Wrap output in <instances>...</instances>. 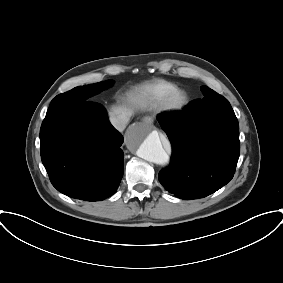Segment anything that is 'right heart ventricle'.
<instances>
[{"label":"right heart ventricle","mask_w":283,"mask_h":283,"mask_svg":"<svg viewBox=\"0 0 283 283\" xmlns=\"http://www.w3.org/2000/svg\"><path fill=\"white\" fill-rule=\"evenodd\" d=\"M176 89L173 83L165 80L157 79L152 81L144 92V97L150 101H157L168 92Z\"/></svg>","instance_id":"e07e8e85"}]
</instances>
